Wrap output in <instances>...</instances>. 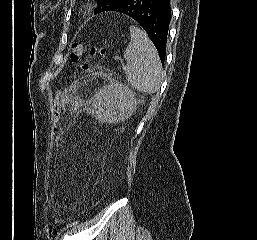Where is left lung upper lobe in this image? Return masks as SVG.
Listing matches in <instances>:
<instances>
[{
  "label": "left lung upper lobe",
  "instance_id": "5c2ea615",
  "mask_svg": "<svg viewBox=\"0 0 257 240\" xmlns=\"http://www.w3.org/2000/svg\"><path fill=\"white\" fill-rule=\"evenodd\" d=\"M122 0H97V8L94 10V14H98L104 11H109L111 8L120 4Z\"/></svg>",
  "mask_w": 257,
  "mask_h": 240
}]
</instances>
